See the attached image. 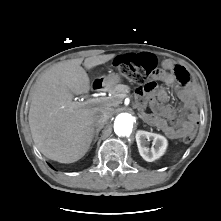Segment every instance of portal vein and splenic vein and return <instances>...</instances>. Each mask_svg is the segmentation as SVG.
Returning <instances> with one entry per match:
<instances>
[{"label":"portal vein and splenic vein","mask_w":221,"mask_h":221,"mask_svg":"<svg viewBox=\"0 0 221 221\" xmlns=\"http://www.w3.org/2000/svg\"><path fill=\"white\" fill-rule=\"evenodd\" d=\"M101 102H107V98L88 99L85 104H97Z\"/></svg>","instance_id":"1"}]
</instances>
